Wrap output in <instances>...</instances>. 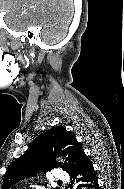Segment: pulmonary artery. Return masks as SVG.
<instances>
[{
	"label": "pulmonary artery",
	"instance_id": "pulmonary-artery-1",
	"mask_svg": "<svg viewBox=\"0 0 124 189\" xmlns=\"http://www.w3.org/2000/svg\"><path fill=\"white\" fill-rule=\"evenodd\" d=\"M53 177L56 180H61V181H67L68 176L67 174L60 168H57L54 170Z\"/></svg>",
	"mask_w": 124,
	"mask_h": 189
}]
</instances>
